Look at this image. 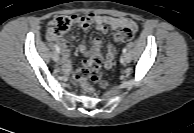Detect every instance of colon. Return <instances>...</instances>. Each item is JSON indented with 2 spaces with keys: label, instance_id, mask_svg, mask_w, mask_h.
Here are the masks:
<instances>
[{
  "label": "colon",
  "instance_id": "obj_1",
  "mask_svg": "<svg viewBox=\"0 0 194 133\" xmlns=\"http://www.w3.org/2000/svg\"><path fill=\"white\" fill-rule=\"evenodd\" d=\"M71 23L72 19L70 17L59 16L50 22L48 30L54 36L58 37L68 31ZM133 38L134 32L129 28H125L115 35V40L117 42H126L132 40ZM102 65L103 57L99 51H96L90 59L76 71L75 78L82 84L86 92L92 91L91 86L87 83L88 79L98 83L102 88H106L108 86V82L102 75Z\"/></svg>",
  "mask_w": 194,
  "mask_h": 133
}]
</instances>
